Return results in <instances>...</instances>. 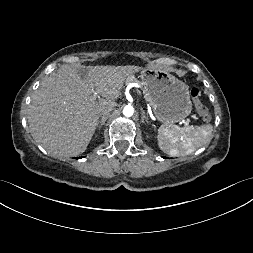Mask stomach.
<instances>
[{
  "label": "stomach",
  "instance_id": "1",
  "mask_svg": "<svg viewBox=\"0 0 253 253\" xmlns=\"http://www.w3.org/2000/svg\"><path fill=\"white\" fill-rule=\"evenodd\" d=\"M145 99L158 121L175 124L192 111L189 87L169 72L146 66L140 73Z\"/></svg>",
  "mask_w": 253,
  "mask_h": 253
}]
</instances>
